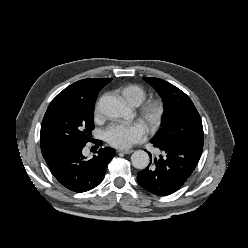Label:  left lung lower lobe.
<instances>
[{
	"label": "left lung lower lobe",
	"mask_w": 248,
	"mask_h": 248,
	"mask_svg": "<svg viewBox=\"0 0 248 248\" xmlns=\"http://www.w3.org/2000/svg\"><path fill=\"white\" fill-rule=\"evenodd\" d=\"M163 152L152 159L147 168L138 172L139 185L150 193L166 196L177 191L194 171L203 146L188 142L154 143Z\"/></svg>",
	"instance_id": "obj_1"
}]
</instances>
